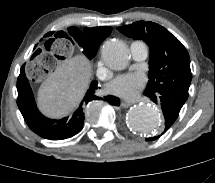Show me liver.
<instances>
[{"instance_id": "6515ba94", "label": "liver", "mask_w": 215, "mask_h": 183, "mask_svg": "<svg viewBox=\"0 0 215 183\" xmlns=\"http://www.w3.org/2000/svg\"><path fill=\"white\" fill-rule=\"evenodd\" d=\"M91 76V64L83 55L60 62L39 88L37 103L40 111L51 118L71 113L84 97Z\"/></svg>"}]
</instances>
